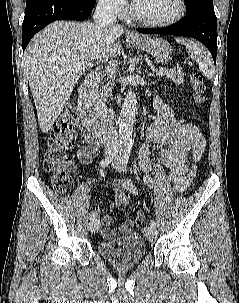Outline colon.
<instances>
[{
    "label": "colon",
    "instance_id": "obj_1",
    "mask_svg": "<svg viewBox=\"0 0 239 303\" xmlns=\"http://www.w3.org/2000/svg\"><path fill=\"white\" fill-rule=\"evenodd\" d=\"M204 75L193 72L190 83L194 93V100L200 104L203 102L205 89ZM78 127V109L74 104H68L62 115L55 123L49 137V149L43 160L44 170L51 175L52 187L57 192L66 191L72 182V170L74 161L68 151L74 145V138ZM127 194L119 196L120 206L128 204Z\"/></svg>",
    "mask_w": 239,
    "mask_h": 303
}]
</instances>
